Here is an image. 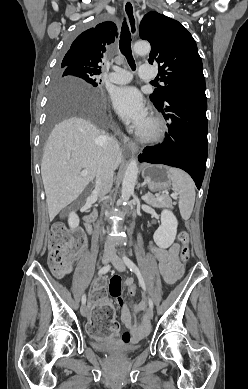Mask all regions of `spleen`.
<instances>
[{
  "mask_svg": "<svg viewBox=\"0 0 248 389\" xmlns=\"http://www.w3.org/2000/svg\"><path fill=\"white\" fill-rule=\"evenodd\" d=\"M169 176L173 189L179 195V210L181 217L188 220L195 203V184L191 177L178 168H169Z\"/></svg>",
  "mask_w": 248,
  "mask_h": 389,
  "instance_id": "1",
  "label": "spleen"
}]
</instances>
